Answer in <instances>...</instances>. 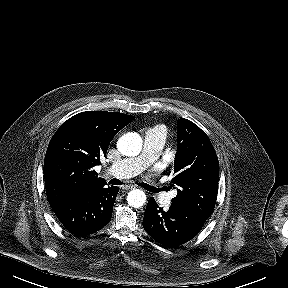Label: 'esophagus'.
I'll return each instance as SVG.
<instances>
[{
	"instance_id": "esophagus-1",
	"label": "esophagus",
	"mask_w": 288,
	"mask_h": 288,
	"mask_svg": "<svg viewBox=\"0 0 288 288\" xmlns=\"http://www.w3.org/2000/svg\"><path fill=\"white\" fill-rule=\"evenodd\" d=\"M133 188H136V186H134V185H125V186L123 187V189H126V190H128V189H133Z\"/></svg>"
}]
</instances>
